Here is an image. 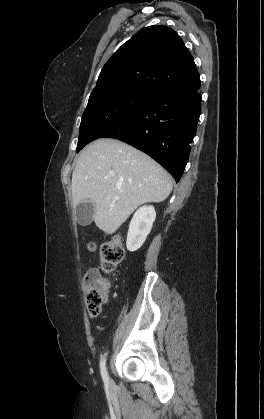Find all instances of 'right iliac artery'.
Returning a JSON list of instances; mask_svg holds the SVG:
<instances>
[{
  "label": "right iliac artery",
  "instance_id": "obj_1",
  "mask_svg": "<svg viewBox=\"0 0 264 419\" xmlns=\"http://www.w3.org/2000/svg\"><path fill=\"white\" fill-rule=\"evenodd\" d=\"M100 370H101V376H102V379H103L105 385H108L109 384V377H108L107 370H106V356H104L101 359Z\"/></svg>",
  "mask_w": 264,
  "mask_h": 419
}]
</instances>
